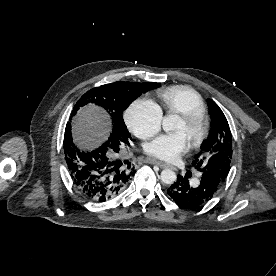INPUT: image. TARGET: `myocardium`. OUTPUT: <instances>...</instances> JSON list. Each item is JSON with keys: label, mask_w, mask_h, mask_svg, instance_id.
Segmentation results:
<instances>
[{"label": "myocardium", "mask_w": 276, "mask_h": 276, "mask_svg": "<svg viewBox=\"0 0 276 276\" xmlns=\"http://www.w3.org/2000/svg\"><path fill=\"white\" fill-rule=\"evenodd\" d=\"M186 125L195 128V135L191 141L192 148H198L206 139L209 121L203 111L193 110L179 115Z\"/></svg>", "instance_id": "obj_1"}]
</instances>
